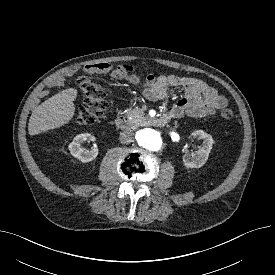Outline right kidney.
Masks as SVG:
<instances>
[{
    "label": "right kidney",
    "mask_w": 275,
    "mask_h": 275,
    "mask_svg": "<svg viewBox=\"0 0 275 275\" xmlns=\"http://www.w3.org/2000/svg\"><path fill=\"white\" fill-rule=\"evenodd\" d=\"M95 141V137L89 133L77 135L73 141L69 144L68 149L72 156L82 162H90L94 160L98 155V149L95 147L92 150H87L81 147L83 142Z\"/></svg>",
    "instance_id": "obj_1"
}]
</instances>
